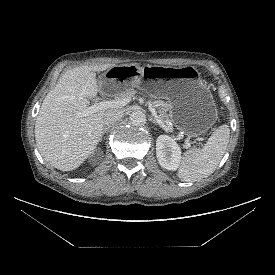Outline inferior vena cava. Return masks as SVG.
Returning a JSON list of instances; mask_svg holds the SVG:
<instances>
[{
    "label": "inferior vena cava",
    "mask_w": 275,
    "mask_h": 275,
    "mask_svg": "<svg viewBox=\"0 0 275 275\" xmlns=\"http://www.w3.org/2000/svg\"><path fill=\"white\" fill-rule=\"evenodd\" d=\"M123 116L122 111L111 109L107 111L104 115V124L107 126L117 123Z\"/></svg>",
    "instance_id": "obj_1"
}]
</instances>
